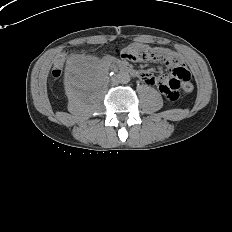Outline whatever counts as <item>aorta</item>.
Masks as SVG:
<instances>
[{"instance_id":"762f6f07","label":"aorta","mask_w":232,"mask_h":232,"mask_svg":"<svg viewBox=\"0 0 232 232\" xmlns=\"http://www.w3.org/2000/svg\"><path fill=\"white\" fill-rule=\"evenodd\" d=\"M117 79L122 84H127L130 81V76L127 72H120L117 75Z\"/></svg>"}]
</instances>
